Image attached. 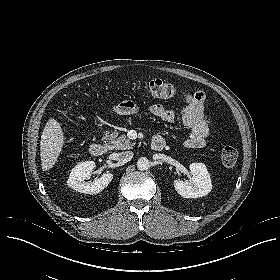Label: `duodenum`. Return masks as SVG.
I'll use <instances>...</instances> for the list:
<instances>
[{
  "label": "duodenum",
  "mask_w": 280,
  "mask_h": 280,
  "mask_svg": "<svg viewBox=\"0 0 280 280\" xmlns=\"http://www.w3.org/2000/svg\"><path fill=\"white\" fill-rule=\"evenodd\" d=\"M165 147V141L162 137H155L151 142V148L155 151H160ZM90 153L94 157H100L107 151V145L104 142H94L90 145Z\"/></svg>",
  "instance_id": "duodenum-1"
}]
</instances>
